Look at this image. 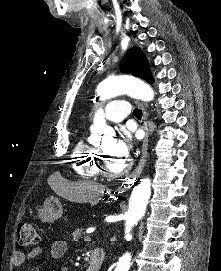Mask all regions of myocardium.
Segmentation results:
<instances>
[{
	"mask_svg": "<svg viewBox=\"0 0 221 271\" xmlns=\"http://www.w3.org/2000/svg\"><path fill=\"white\" fill-rule=\"evenodd\" d=\"M110 160L108 158H102L101 161H99V166L103 170L102 177L107 178V176H110L112 179H114L116 176L120 175H127V171L130 172L131 170L135 169L134 165H130L131 163H135V158H127L122 164L117 166V170H114L113 163H108Z\"/></svg>",
	"mask_w": 221,
	"mask_h": 271,
	"instance_id": "1",
	"label": "myocardium"
}]
</instances>
